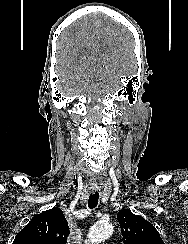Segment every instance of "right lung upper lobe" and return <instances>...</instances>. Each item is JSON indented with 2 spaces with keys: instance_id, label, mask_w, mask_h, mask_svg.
I'll return each instance as SVG.
<instances>
[{
  "instance_id": "1",
  "label": "right lung upper lobe",
  "mask_w": 188,
  "mask_h": 244,
  "mask_svg": "<svg viewBox=\"0 0 188 244\" xmlns=\"http://www.w3.org/2000/svg\"><path fill=\"white\" fill-rule=\"evenodd\" d=\"M69 235L67 220L58 207L35 215L16 235L13 244H65Z\"/></svg>"
}]
</instances>
